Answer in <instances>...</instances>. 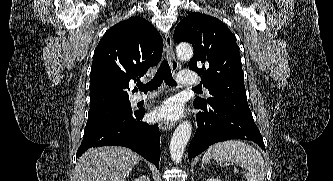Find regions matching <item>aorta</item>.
I'll return each mask as SVG.
<instances>
[{"label": "aorta", "mask_w": 333, "mask_h": 181, "mask_svg": "<svg viewBox=\"0 0 333 181\" xmlns=\"http://www.w3.org/2000/svg\"><path fill=\"white\" fill-rule=\"evenodd\" d=\"M176 55L181 60H188L193 56L191 45L182 43L176 47ZM192 125L188 121L182 122L174 131L170 142V154L175 163L182 160L185 147L191 137Z\"/></svg>", "instance_id": "obj_1"}]
</instances>
